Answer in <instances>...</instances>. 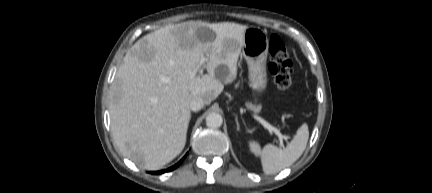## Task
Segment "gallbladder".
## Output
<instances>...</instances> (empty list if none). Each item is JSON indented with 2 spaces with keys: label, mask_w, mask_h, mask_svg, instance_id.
I'll use <instances>...</instances> for the list:
<instances>
[{
  "label": "gallbladder",
  "mask_w": 432,
  "mask_h": 193,
  "mask_svg": "<svg viewBox=\"0 0 432 193\" xmlns=\"http://www.w3.org/2000/svg\"><path fill=\"white\" fill-rule=\"evenodd\" d=\"M206 31L211 32L210 30L206 29ZM202 39V38H201Z\"/></svg>",
  "instance_id": "1"
}]
</instances>
